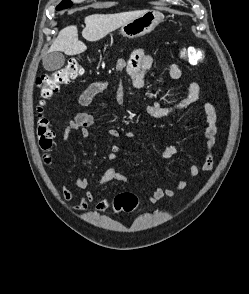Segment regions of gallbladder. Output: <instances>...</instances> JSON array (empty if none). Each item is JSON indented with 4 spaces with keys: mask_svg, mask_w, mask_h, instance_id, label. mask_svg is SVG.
I'll return each instance as SVG.
<instances>
[{
    "mask_svg": "<svg viewBox=\"0 0 249 294\" xmlns=\"http://www.w3.org/2000/svg\"><path fill=\"white\" fill-rule=\"evenodd\" d=\"M65 63V56L63 53L54 51L51 53H48L43 58V66L47 71H56L63 67Z\"/></svg>",
    "mask_w": 249,
    "mask_h": 294,
    "instance_id": "1",
    "label": "gallbladder"
}]
</instances>
